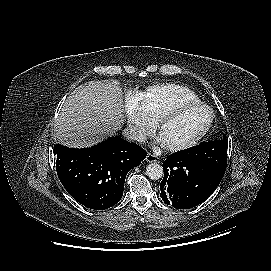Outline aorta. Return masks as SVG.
Masks as SVG:
<instances>
[{
    "mask_svg": "<svg viewBox=\"0 0 271 271\" xmlns=\"http://www.w3.org/2000/svg\"><path fill=\"white\" fill-rule=\"evenodd\" d=\"M147 176L152 180H158L163 175V167L157 163H151L146 169Z\"/></svg>",
    "mask_w": 271,
    "mask_h": 271,
    "instance_id": "762f6f07",
    "label": "aorta"
}]
</instances>
